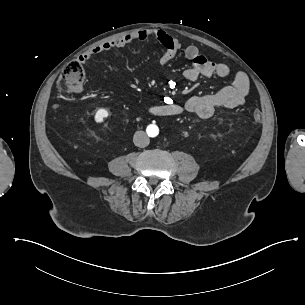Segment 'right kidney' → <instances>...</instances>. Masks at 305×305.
Listing matches in <instances>:
<instances>
[{
	"label": "right kidney",
	"instance_id": "ca27d5eb",
	"mask_svg": "<svg viewBox=\"0 0 305 305\" xmlns=\"http://www.w3.org/2000/svg\"><path fill=\"white\" fill-rule=\"evenodd\" d=\"M108 117V111L105 109H99L95 115L96 122H103V119Z\"/></svg>",
	"mask_w": 305,
	"mask_h": 305
}]
</instances>
